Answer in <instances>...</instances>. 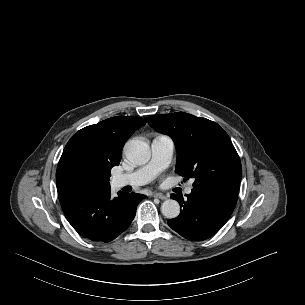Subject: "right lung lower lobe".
<instances>
[{"label":"right lung lower lobe","instance_id":"obj_1","mask_svg":"<svg viewBox=\"0 0 305 305\" xmlns=\"http://www.w3.org/2000/svg\"><path fill=\"white\" fill-rule=\"evenodd\" d=\"M144 198L142 194L118 192L112 199L110 188L89 189L60 200V204L66 219L82 237L109 242L129 227Z\"/></svg>","mask_w":305,"mask_h":305}]
</instances>
